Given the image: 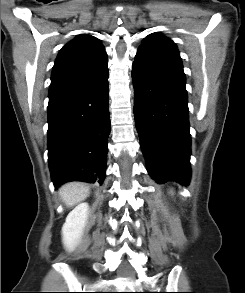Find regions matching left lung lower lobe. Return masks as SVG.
<instances>
[{"label": "left lung lower lobe", "mask_w": 245, "mask_h": 293, "mask_svg": "<svg viewBox=\"0 0 245 293\" xmlns=\"http://www.w3.org/2000/svg\"><path fill=\"white\" fill-rule=\"evenodd\" d=\"M134 116L147 171L159 184L190 180L186 80L182 65L139 50L132 68Z\"/></svg>", "instance_id": "left-lung-lower-lobe-1"}]
</instances>
